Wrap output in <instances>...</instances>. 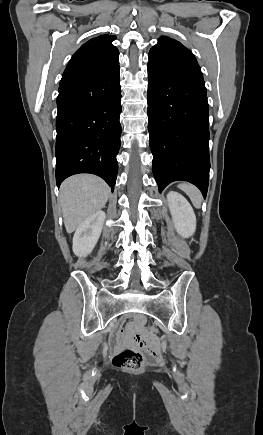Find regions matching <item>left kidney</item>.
I'll return each instance as SVG.
<instances>
[{
    "mask_svg": "<svg viewBox=\"0 0 263 435\" xmlns=\"http://www.w3.org/2000/svg\"><path fill=\"white\" fill-rule=\"evenodd\" d=\"M167 200L177 232L183 238L192 236L196 230V216L189 202L174 191L167 194Z\"/></svg>",
    "mask_w": 263,
    "mask_h": 435,
    "instance_id": "5707ae66",
    "label": "left kidney"
}]
</instances>
